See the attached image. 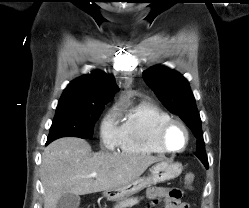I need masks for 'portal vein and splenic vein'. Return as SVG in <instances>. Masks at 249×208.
<instances>
[{
  "label": "portal vein and splenic vein",
  "instance_id": "1",
  "mask_svg": "<svg viewBox=\"0 0 249 208\" xmlns=\"http://www.w3.org/2000/svg\"><path fill=\"white\" fill-rule=\"evenodd\" d=\"M88 177L95 178L97 177V173H91L90 175H88Z\"/></svg>",
  "mask_w": 249,
  "mask_h": 208
}]
</instances>
